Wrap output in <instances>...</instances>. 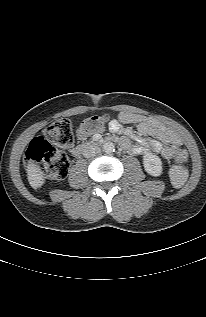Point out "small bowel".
Segmentation results:
<instances>
[{"instance_id":"c3829d8e","label":"small bowel","mask_w":206,"mask_h":317,"mask_svg":"<svg viewBox=\"0 0 206 317\" xmlns=\"http://www.w3.org/2000/svg\"><path fill=\"white\" fill-rule=\"evenodd\" d=\"M127 124L136 125L137 133L131 128H125ZM109 129L113 133H123L122 146L130 153L140 155L148 152H156L165 159H170L181 145L180 138L153 118L144 115L121 112L111 120ZM134 138L137 143L131 144L128 138Z\"/></svg>"}]
</instances>
